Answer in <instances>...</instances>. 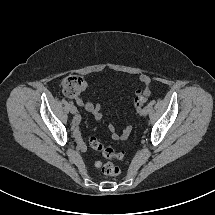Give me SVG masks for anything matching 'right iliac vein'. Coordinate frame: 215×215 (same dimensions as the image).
<instances>
[{
    "mask_svg": "<svg viewBox=\"0 0 215 215\" xmlns=\"http://www.w3.org/2000/svg\"><path fill=\"white\" fill-rule=\"evenodd\" d=\"M70 112L73 115L77 114V108L74 105L70 106Z\"/></svg>",
    "mask_w": 215,
    "mask_h": 215,
    "instance_id": "1",
    "label": "right iliac vein"
}]
</instances>
